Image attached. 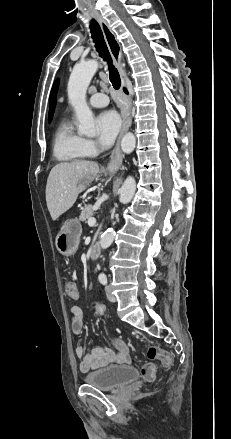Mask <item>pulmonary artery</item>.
<instances>
[{
  "label": "pulmonary artery",
  "mask_w": 231,
  "mask_h": 439,
  "mask_svg": "<svg viewBox=\"0 0 231 439\" xmlns=\"http://www.w3.org/2000/svg\"><path fill=\"white\" fill-rule=\"evenodd\" d=\"M89 103L92 107H105L109 103V98L105 93H94L90 96Z\"/></svg>",
  "instance_id": "pulmonary-artery-1"
}]
</instances>
